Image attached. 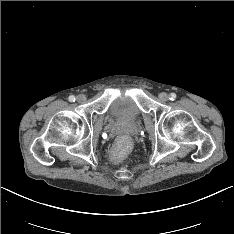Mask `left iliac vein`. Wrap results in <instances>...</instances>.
I'll use <instances>...</instances> for the list:
<instances>
[{
    "label": "left iliac vein",
    "mask_w": 234,
    "mask_h": 234,
    "mask_svg": "<svg viewBox=\"0 0 234 234\" xmlns=\"http://www.w3.org/2000/svg\"><path fill=\"white\" fill-rule=\"evenodd\" d=\"M159 99L162 101V102H166L168 99H169V95L165 92H162L159 94Z\"/></svg>",
    "instance_id": "4c4485c4"
}]
</instances>
